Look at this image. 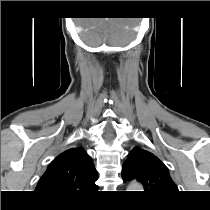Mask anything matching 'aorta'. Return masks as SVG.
Wrapping results in <instances>:
<instances>
[{"label":"aorta","instance_id":"762f6f07","mask_svg":"<svg viewBox=\"0 0 210 210\" xmlns=\"http://www.w3.org/2000/svg\"><path fill=\"white\" fill-rule=\"evenodd\" d=\"M129 189H142V186L137 183H134L129 186ZM130 191H133V190H130Z\"/></svg>","mask_w":210,"mask_h":210}]
</instances>
